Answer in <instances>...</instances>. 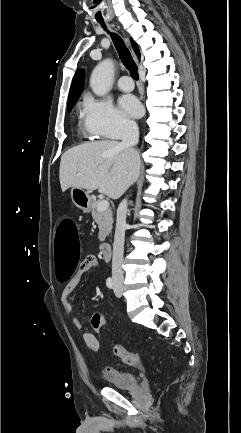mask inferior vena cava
Wrapping results in <instances>:
<instances>
[{"label": "inferior vena cava", "instance_id": "inferior-vena-cava-1", "mask_svg": "<svg viewBox=\"0 0 241 433\" xmlns=\"http://www.w3.org/2000/svg\"><path fill=\"white\" fill-rule=\"evenodd\" d=\"M139 129L134 121H127L124 124L122 143L123 147H133L138 144ZM127 199H123L117 209L116 229L113 243V257H112V278L114 281H123V253H124V240L126 230V213H127Z\"/></svg>", "mask_w": 241, "mask_h": 433}]
</instances>
